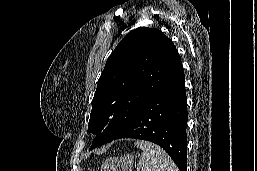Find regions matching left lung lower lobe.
<instances>
[{"label":"left lung lower lobe","instance_id":"left-lung-lower-lobe-1","mask_svg":"<svg viewBox=\"0 0 257 171\" xmlns=\"http://www.w3.org/2000/svg\"><path fill=\"white\" fill-rule=\"evenodd\" d=\"M187 120L185 75L178 56L152 97L113 140L135 138L156 143L180 171H187Z\"/></svg>","mask_w":257,"mask_h":171}]
</instances>
